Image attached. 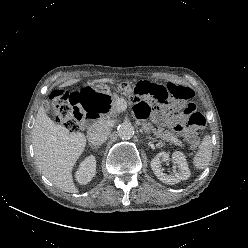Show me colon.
<instances>
[{
    "instance_id": "1",
    "label": "colon",
    "mask_w": 248,
    "mask_h": 248,
    "mask_svg": "<svg viewBox=\"0 0 248 248\" xmlns=\"http://www.w3.org/2000/svg\"><path fill=\"white\" fill-rule=\"evenodd\" d=\"M119 89L129 94L138 104L149 102L153 105H169L188 116L189 128L188 141L192 149L199 145V137L195 130L205 125L204 116L197 112L195 104L190 101L192 90L186 87L169 84L166 87L139 82L133 86L122 83ZM70 93L60 89L52 92L50 96L55 119L69 131L76 132L80 129L84 111L76 110L70 102Z\"/></svg>"
}]
</instances>
